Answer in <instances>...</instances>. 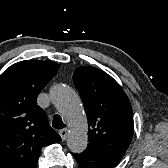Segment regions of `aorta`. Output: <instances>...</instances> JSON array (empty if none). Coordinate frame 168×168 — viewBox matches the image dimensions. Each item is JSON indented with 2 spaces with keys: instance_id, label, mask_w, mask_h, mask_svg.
<instances>
[{
  "instance_id": "aorta-1",
  "label": "aorta",
  "mask_w": 168,
  "mask_h": 168,
  "mask_svg": "<svg viewBox=\"0 0 168 168\" xmlns=\"http://www.w3.org/2000/svg\"><path fill=\"white\" fill-rule=\"evenodd\" d=\"M50 98L68 123V148L73 153H81L88 145V124L79 95L71 87L57 84L51 88Z\"/></svg>"
}]
</instances>
